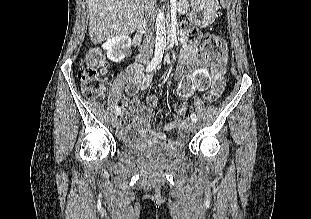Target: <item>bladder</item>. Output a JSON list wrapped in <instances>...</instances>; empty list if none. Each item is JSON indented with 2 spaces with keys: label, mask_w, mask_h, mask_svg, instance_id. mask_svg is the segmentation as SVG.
Wrapping results in <instances>:
<instances>
[{
  "label": "bladder",
  "mask_w": 311,
  "mask_h": 219,
  "mask_svg": "<svg viewBox=\"0 0 311 219\" xmlns=\"http://www.w3.org/2000/svg\"><path fill=\"white\" fill-rule=\"evenodd\" d=\"M124 148L134 155H143L154 159H171L178 156L184 148L183 144L158 146L156 144L140 145L136 141L126 142Z\"/></svg>",
  "instance_id": "31cf9c89"
}]
</instances>
